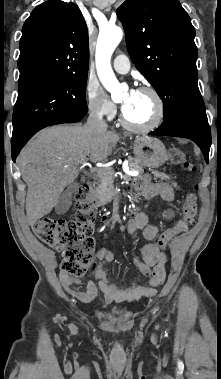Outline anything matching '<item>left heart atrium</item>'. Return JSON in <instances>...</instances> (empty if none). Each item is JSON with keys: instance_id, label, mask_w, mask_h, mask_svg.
Instances as JSON below:
<instances>
[{"instance_id": "obj_1", "label": "left heart atrium", "mask_w": 221, "mask_h": 379, "mask_svg": "<svg viewBox=\"0 0 221 379\" xmlns=\"http://www.w3.org/2000/svg\"><path fill=\"white\" fill-rule=\"evenodd\" d=\"M136 94H137V91H135V90H131V91L129 92V98H130V99L134 98ZM125 107H126V104H123V105H122V108L124 109Z\"/></svg>"}]
</instances>
